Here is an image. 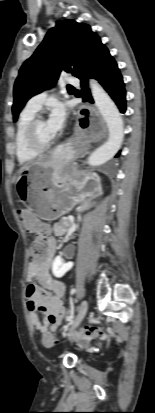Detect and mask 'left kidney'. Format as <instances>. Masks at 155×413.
Wrapping results in <instances>:
<instances>
[{"label": "left kidney", "instance_id": "left-kidney-1", "mask_svg": "<svg viewBox=\"0 0 155 413\" xmlns=\"http://www.w3.org/2000/svg\"><path fill=\"white\" fill-rule=\"evenodd\" d=\"M73 265L72 262L65 263L61 256H57L52 262V273L55 277L60 278L64 276Z\"/></svg>", "mask_w": 155, "mask_h": 413}]
</instances>
